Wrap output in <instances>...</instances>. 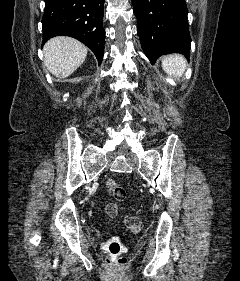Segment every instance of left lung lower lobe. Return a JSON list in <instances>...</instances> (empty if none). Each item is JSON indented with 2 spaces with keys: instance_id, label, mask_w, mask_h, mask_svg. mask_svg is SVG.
Segmentation results:
<instances>
[{
  "instance_id": "left-lung-lower-lobe-1",
  "label": "left lung lower lobe",
  "mask_w": 240,
  "mask_h": 281,
  "mask_svg": "<svg viewBox=\"0 0 240 281\" xmlns=\"http://www.w3.org/2000/svg\"><path fill=\"white\" fill-rule=\"evenodd\" d=\"M137 32L151 63L168 53L190 54L191 38L185 0H132Z\"/></svg>"
}]
</instances>
